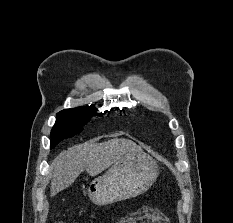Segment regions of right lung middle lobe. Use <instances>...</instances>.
I'll return each mask as SVG.
<instances>
[{"instance_id": "dd1d6c3e", "label": "right lung middle lobe", "mask_w": 233, "mask_h": 223, "mask_svg": "<svg viewBox=\"0 0 233 223\" xmlns=\"http://www.w3.org/2000/svg\"><path fill=\"white\" fill-rule=\"evenodd\" d=\"M95 110L94 106H86L60 111L51 131V148H54L61 140L80 133L89 121L90 114H94Z\"/></svg>"}]
</instances>
